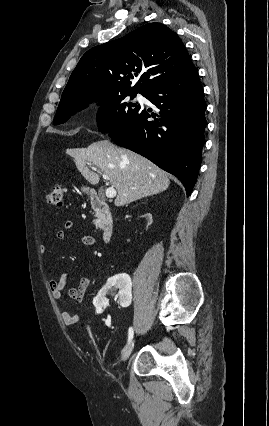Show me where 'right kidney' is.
<instances>
[{
	"mask_svg": "<svg viewBox=\"0 0 269 426\" xmlns=\"http://www.w3.org/2000/svg\"><path fill=\"white\" fill-rule=\"evenodd\" d=\"M145 217L148 218V220H145ZM141 219L143 221L145 220L141 225L142 230H149L150 224L152 223V215L147 213ZM128 280V273H119L118 276L108 280L107 284L101 288L94 300V305L96 306L98 313L101 312L102 307L106 311L110 309L111 306L105 295H113L115 290H120L118 293L119 299L117 300V309L119 311H126L128 309L133 300V292Z\"/></svg>",
	"mask_w": 269,
	"mask_h": 426,
	"instance_id": "ca27d5eb",
	"label": "right kidney"
}]
</instances>
